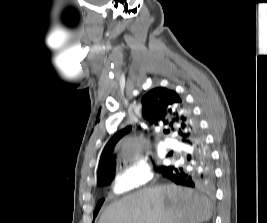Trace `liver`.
I'll use <instances>...</instances> for the list:
<instances>
[{
    "label": "liver",
    "mask_w": 267,
    "mask_h": 223,
    "mask_svg": "<svg viewBox=\"0 0 267 223\" xmlns=\"http://www.w3.org/2000/svg\"><path fill=\"white\" fill-rule=\"evenodd\" d=\"M212 217L210 200L176 185L144 188L111 204L99 223H203Z\"/></svg>",
    "instance_id": "1"
}]
</instances>
